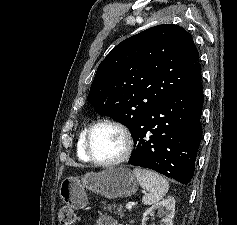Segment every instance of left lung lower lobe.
I'll use <instances>...</instances> for the list:
<instances>
[{
	"label": "left lung lower lobe",
	"mask_w": 237,
	"mask_h": 225,
	"mask_svg": "<svg viewBox=\"0 0 237 225\" xmlns=\"http://www.w3.org/2000/svg\"><path fill=\"white\" fill-rule=\"evenodd\" d=\"M202 107L201 82L157 103L131 131L135 148L129 164L189 186L202 139Z\"/></svg>",
	"instance_id": "obj_1"
}]
</instances>
